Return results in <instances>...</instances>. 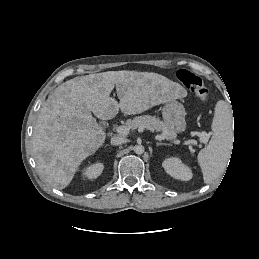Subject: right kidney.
I'll use <instances>...</instances> for the list:
<instances>
[{"label": "right kidney", "mask_w": 259, "mask_h": 259, "mask_svg": "<svg viewBox=\"0 0 259 259\" xmlns=\"http://www.w3.org/2000/svg\"><path fill=\"white\" fill-rule=\"evenodd\" d=\"M103 169H104V166L102 163H95L85 169L84 175L88 179H95L101 175Z\"/></svg>", "instance_id": "1"}]
</instances>
